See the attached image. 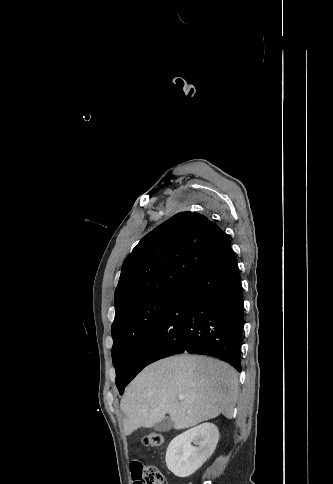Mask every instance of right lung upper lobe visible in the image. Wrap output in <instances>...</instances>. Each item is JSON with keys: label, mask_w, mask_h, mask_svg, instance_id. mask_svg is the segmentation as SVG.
<instances>
[{"label": "right lung upper lobe", "mask_w": 333, "mask_h": 484, "mask_svg": "<svg viewBox=\"0 0 333 484\" xmlns=\"http://www.w3.org/2000/svg\"><path fill=\"white\" fill-rule=\"evenodd\" d=\"M231 249L202 214L180 212L144 236L125 259L115 291V320L136 305L188 281Z\"/></svg>", "instance_id": "cb5924a9"}]
</instances>
